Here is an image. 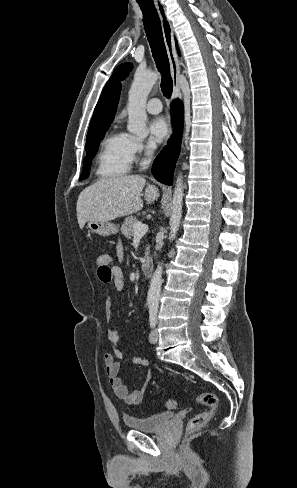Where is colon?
<instances>
[{
  "label": "colon",
  "instance_id": "obj_1",
  "mask_svg": "<svg viewBox=\"0 0 297 488\" xmlns=\"http://www.w3.org/2000/svg\"><path fill=\"white\" fill-rule=\"evenodd\" d=\"M109 255L103 254L97 258L98 270L102 274H106L109 270ZM196 402L205 406V409L192 417L188 424L187 429L189 431H196L207 424L215 415L218 409V398L212 392L200 394L196 398ZM177 402L175 400H169L166 402V408L169 410L175 409Z\"/></svg>",
  "mask_w": 297,
  "mask_h": 488
}]
</instances>
